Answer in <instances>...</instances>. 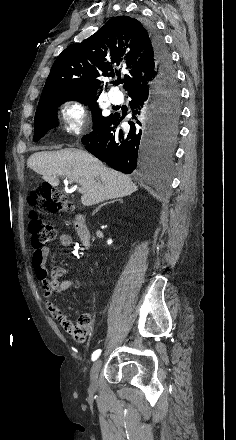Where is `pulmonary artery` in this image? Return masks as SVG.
I'll use <instances>...</instances> for the list:
<instances>
[{"label":"pulmonary artery","mask_w":236,"mask_h":440,"mask_svg":"<svg viewBox=\"0 0 236 440\" xmlns=\"http://www.w3.org/2000/svg\"><path fill=\"white\" fill-rule=\"evenodd\" d=\"M109 98L113 104H119L122 102V93L118 90L112 89L109 92Z\"/></svg>","instance_id":"1"}]
</instances>
